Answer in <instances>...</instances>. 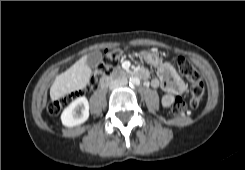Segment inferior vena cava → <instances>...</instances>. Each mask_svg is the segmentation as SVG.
I'll use <instances>...</instances> for the list:
<instances>
[{"label":"inferior vena cava","instance_id":"602c4592","mask_svg":"<svg viewBox=\"0 0 245 170\" xmlns=\"http://www.w3.org/2000/svg\"><path fill=\"white\" fill-rule=\"evenodd\" d=\"M128 80L126 77H121V78H118V79H115L113 80L110 85H109V88L111 90L113 89H116V88H119V87H122V86H125L127 84Z\"/></svg>","mask_w":245,"mask_h":170}]
</instances>
